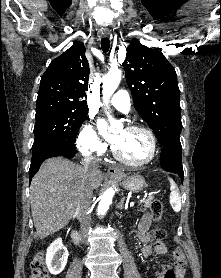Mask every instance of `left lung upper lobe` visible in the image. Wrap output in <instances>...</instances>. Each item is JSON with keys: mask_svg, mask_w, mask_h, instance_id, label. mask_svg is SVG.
Here are the masks:
<instances>
[{"mask_svg": "<svg viewBox=\"0 0 221 278\" xmlns=\"http://www.w3.org/2000/svg\"><path fill=\"white\" fill-rule=\"evenodd\" d=\"M134 107L161 146L180 142V91L173 66L162 52L133 39L123 62Z\"/></svg>", "mask_w": 221, "mask_h": 278, "instance_id": "obj_1", "label": "left lung upper lobe"}]
</instances>
